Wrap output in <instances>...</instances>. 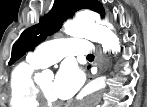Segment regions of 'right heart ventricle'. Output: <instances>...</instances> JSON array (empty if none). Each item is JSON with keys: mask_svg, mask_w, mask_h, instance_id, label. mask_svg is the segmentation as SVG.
<instances>
[{"mask_svg": "<svg viewBox=\"0 0 147 107\" xmlns=\"http://www.w3.org/2000/svg\"><path fill=\"white\" fill-rule=\"evenodd\" d=\"M43 66L27 59L18 64L11 74L10 104L12 107H39L34 95L33 75Z\"/></svg>", "mask_w": 147, "mask_h": 107, "instance_id": "1", "label": "right heart ventricle"}]
</instances>
